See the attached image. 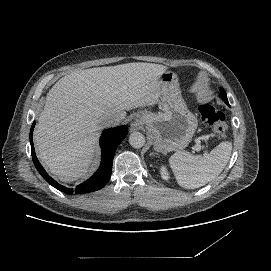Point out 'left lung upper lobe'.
<instances>
[{
  "label": "left lung upper lobe",
  "mask_w": 271,
  "mask_h": 271,
  "mask_svg": "<svg viewBox=\"0 0 271 271\" xmlns=\"http://www.w3.org/2000/svg\"><path fill=\"white\" fill-rule=\"evenodd\" d=\"M220 90H221L220 95L222 96L224 102L229 106L227 96H226V92L223 90V88H220Z\"/></svg>",
  "instance_id": "5c2ea615"
}]
</instances>
